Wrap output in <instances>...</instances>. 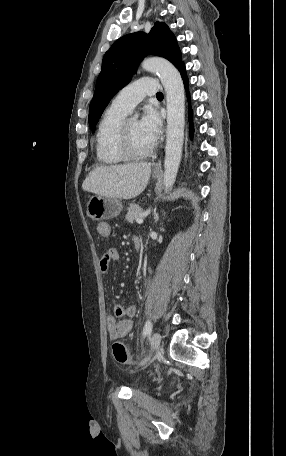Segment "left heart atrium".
Returning a JSON list of instances; mask_svg holds the SVG:
<instances>
[{"label":"left heart atrium","mask_w":286,"mask_h":456,"mask_svg":"<svg viewBox=\"0 0 286 456\" xmlns=\"http://www.w3.org/2000/svg\"><path fill=\"white\" fill-rule=\"evenodd\" d=\"M139 125L141 131L152 143H155L160 135L162 125L158 112L150 106L146 107Z\"/></svg>","instance_id":"obj_1"}]
</instances>
